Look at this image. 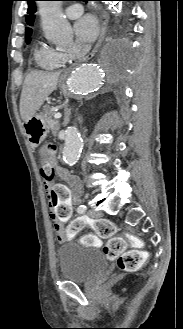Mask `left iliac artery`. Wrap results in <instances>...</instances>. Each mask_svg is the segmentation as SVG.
Wrapping results in <instances>:
<instances>
[{
	"label": "left iliac artery",
	"mask_w": 183,
	"mask_h": 329,
	"mask_svg": "<svg viewBox=\"0 0 183 329\" xmlns=\"http://www.w3.org/2000/svg\"><path fill=\"white\" fill-rule=\"evenodd\" d=\"M87 207L85 205H80L77 209L79 214H84L86 212Z\"/></svg>",
	"instance_id": "44dca946"
}]
</instances>
